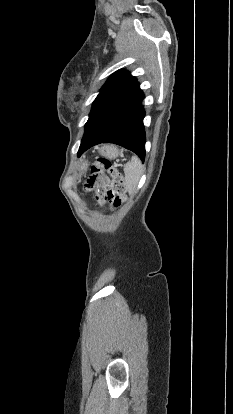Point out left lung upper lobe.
Returning a JSON list of instances; mask_svg holds the SVG:
<instances>
[{
    "mask_svg": "<svg viewBox=\"0 0 233 414\" xmlns=\"http://www.w3.org/2000/svg\"><path fill=\"white\" fill-rule=\"evenodd\" d=\"M136 83V78L129 72L120 70L115 72L101 88L96 100L114 94Z\"/></svg>",
    "mask_w": 233,
    "mask_h": 414,
    "instance_id": "1",
    "label": "left lung upper lobe"
}]
</instances>
